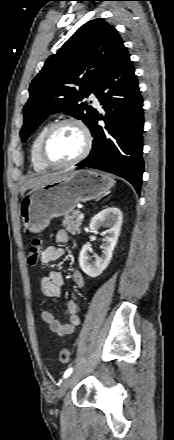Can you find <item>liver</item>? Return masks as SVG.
<instances>
[{"label":"liver","mask_w":174,"mask_h":440,"mask_svg":"<svg viewBox=\"0 0 174 440\" xmlns=\"http://www.w3.org/2000/svg\"><path fill=\"white\" fill-rule=\"evenodd\" d=\"M64 174H65V172H54V173H48V174L34 177L24 183L22 190H21L22 195L25 193L26 190L33 189L35 187L47 184L52 181H55V180L61 178Z\"/></svg>","instance_id":"6515ba94"}]
</instances>
